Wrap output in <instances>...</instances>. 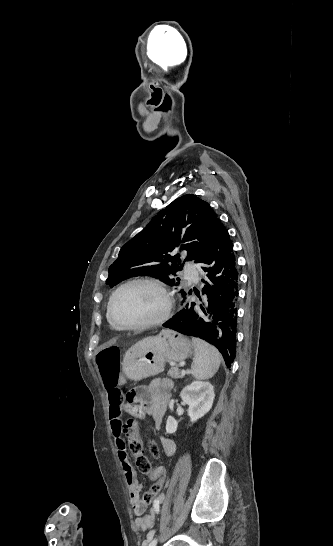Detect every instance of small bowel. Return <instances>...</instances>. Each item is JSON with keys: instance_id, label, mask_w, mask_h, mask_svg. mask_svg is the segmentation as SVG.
<instances>
[{"instance_id": "1", "label": "small bowel", "mask_w": 333, "mask_h": 546, "mask_svg": "<svg viewBox=\"0 0 333 546\" xmlns=\"http://www.w3.org/2000/svg\"><path fill=\"white\" fill-rule=\"evenodd\" d=\"M128 372L123 370L119 375L120 387L126 386ZM173 390V381L168 378L155 379L148 386H142L137 390V397L142 403V409H133L132 412L137 416H143L144 414L150 415L156 426L160 427L166 408L171 398ZM110 426L112 435L115 439L117 448V454L120 464L123 468L125 480L128 485L131 504L136 515L135 526L138 529L149 530L153 527L155 519L160 512V503L163 500L161 497L156 500L149 511L146 513V504L140 498V492L142 485L137 477V474L130 464L125 441L123 439L124 423L121 415L123 412V405L120 402L113 403L110 398ZM161 443L163 451L167 456H172L176 452L175 442L165 436H162ZM149 479L155 481L156 475H149ZM149 536H152L150 531Z\"/></svg>"}]
</instances>
